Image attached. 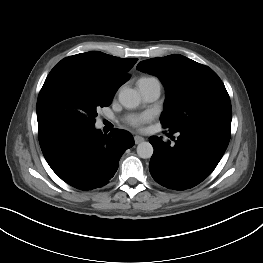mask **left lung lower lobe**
Segmentation results:
<instances>
[{
    "mask_svg": "<svg viewBox=\"0 0 263 263\" xmlns=\"http://www.w3.org/2000/svg\"><path fill=\"white\" fill-rule=\"evenodd\" d=\"M230 129V125L207 119L170 131L179 135L174 145L151 136V176L162 186L178 191L198 185L221 160L230 140Z\"/></svg>",
    "mask_w": 263,
    "mask_h": 263,
    "instance_id": "1",
    "label": "left lung lower lobe"
}]
</instances>
